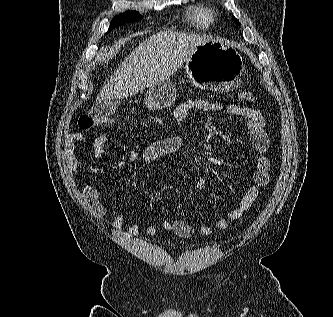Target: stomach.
Wrapping results in <instances>:
<instances>
[{"label":"stomach","mask_w":333,"mask_h":317,"mask_svg":"<svg viewBox=\"0 0 333 317\" xmlns=\"http://www.w3.org/2000/svg\"><path fill=\"white\" fill-rule=\"evenodd\" d=\"M187 77L196 87L223 93L241 83L245 65L236 48L225 41L211 39L197 46L185 65ZM176 96L170 79L160 81L147 89L146 107L158 111L169 107Z\"/></svg>","instance_id":"0dacf381"}]
</instances>
